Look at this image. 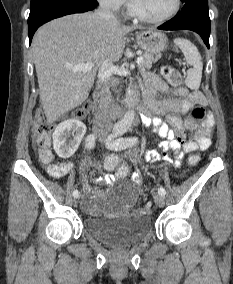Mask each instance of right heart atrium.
Returning <instances> with one entry per match:
<instances>
[{
  "instance_id": "1",
  "label": "right heart atrium",
  "mask_w": 233,
  "mask_h": 284,
  "mask_svg": "<svg viewBox=\"0 0 233 284\" xmlns=\"http://www.w3.org/2000/svg\"><path fill=\"white\" fill-rule=\"evenodd\" d=\"M98 2L110 11H118L126 4V0H98Z\"/></svg>"
}]
</instances>
